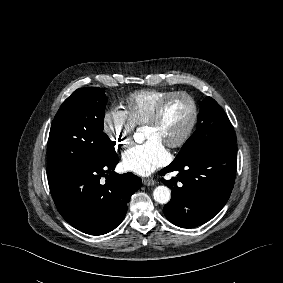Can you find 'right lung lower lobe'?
Here are the masks:
<instances>
[{"instance_id":"98d812e1","label":"right lung lower lobe","mask_w":283,"mask_h":283,"mask_svg":"<svg viewBox=\"0 0 283 283\" xmlns=\"http://www.w3.org/2000/svg\"><path fill=\"white\" fill-rule=\"evenodd\" d=\"M118 161L113 151L97 163L48 179L58 211L74 228L103 235L123 221L130 197L142 181L130 172L117 174L114 169Z\"/></svg>"}]
</instances>
